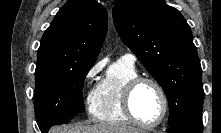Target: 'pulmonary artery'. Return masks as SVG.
<instances>
[{
  "label": "pulmonary artery",
  "mask_w": 221,
  "mask_h": 133,
  "mask_svg": "<svg viewBox=\"0 0 221 133\" xmlns=\"http://www.w3.org/2000/svg\"><path fill=\"white\" fill-rule=\"evenodd\" d=\"M120 60H123L129 64H134L135 62V56L132 55V54H125V55H122L120 58Z\"/></svg>",
  "instance_id": "obj_1"
}]
</instances>
